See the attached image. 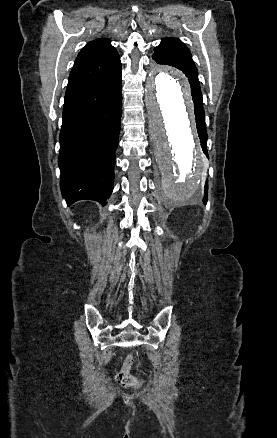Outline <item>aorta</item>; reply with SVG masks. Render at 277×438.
I'll return each instance as SVG.
<instances>
[{
	"mask_svg": "<svg viewBox=\"0 0 277 438\" xmlns=\"http://www.w3.org/2000/svg\"><path fill=\"white\" fill-rule=\"evenodd\" d=\"M146 99L163 193L171 201L189 199L200 187L207 161L195 127L188 82L182 73L155 65L146 81Z\"/></svg>",
	"mask_w": 277,
	"mask_h": 438,
	"instance_id": "1",
	"label": "aorta"
}]
</instances>
